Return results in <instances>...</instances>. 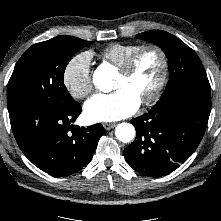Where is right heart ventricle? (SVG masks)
<instances>
[{"instance_id": "right-heart-ventricle-1", "label": "right heart ventricle", "mask_w": 221, "mask_h": 221, "mask_svg": "<svg viewBox=\"0 0 221 221\" xmlns=\"http://www.w3.org/2000/svg\"><path fill=\"white\" fill-rule=\"evenodd\" d=\"M140 47L139 44L112 43L106 46L99 56L101 59L120 67Z\"/></svg>"}]
</instances>
